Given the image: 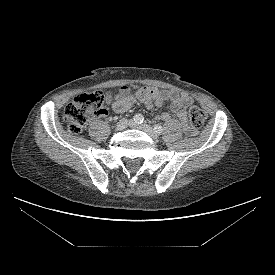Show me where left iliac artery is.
<instances>
[{"mask_svg":"<svg viewBox=\"0 0 275 275\" xmlns=\"http://www.w3.org/2000/svg\"><path fill=\"white\" fill-rule=\"evenodd\" d=\"M154 131L157 133V134H161L163 132V128L161 125L159 124H156L154 125Z\"/></svg>","mask_w":275,"mask_h":275,"instance_id":"1","label":"left iliac artery"}]
</instances>
